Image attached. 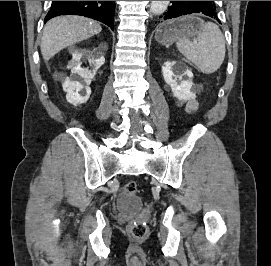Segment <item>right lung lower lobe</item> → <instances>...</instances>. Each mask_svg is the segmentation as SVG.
Returning <instances> with one entry per match:
<instances>
[{"mask_svg": "<svg viewBox=\"0 0 271 266\" xmlns=\"http://www.w3.org/2000/svg\"><path fill=\"white\" fill-rule=\"evenodd\" d=\"M115 1H52L45 22L59 15H82L114 27Z\"/></svg>", "mask_w": 271, "mask_h": 266, "instance_id": "1", "label": "right lung lower lobe"}]
</instances>
